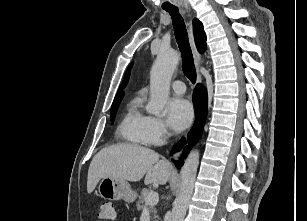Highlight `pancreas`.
Returning a JSON list of instances; mask_svg holds the SVG:
<instances>
[{
	"instance_id": "obj_1",
	"label": "pancreas",
	"mask_w": 307,
	"mask_h": 221,
	"mask_svg": "<svg viewBox=\"0 0 307 221\" xmlns=\"http://www.w3.org/2000/svg\"><path fill=\"white\" fill-rule=\"evenodd\" d=\"M153 192V190L151 189H143L141 191V194L138 196V201L136 202V206H137V209L138 210H141L143 209L144 207H149L150 208V211L151 213L153 214L152 215V218L155 219V221H158V215H157V211L156 209L154 208V206H150V205H147L146 204V200H147V197L148 195Z\"/></svg>"
}]
</instances>
